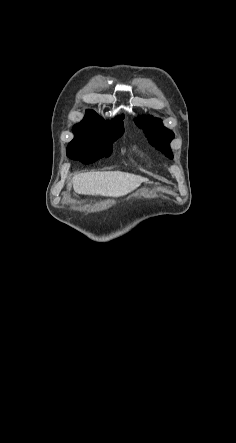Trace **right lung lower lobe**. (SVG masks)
Wrapping results in <instances>:
<instances>
[{"label":"right lung lower lobe","instance_id":"right-lung-lower-lobe-1","mask_svg":"<svg viewBox=\"0 0 236 443\" xmlns=\"http://www.w3.org/2000/svg\"><path fill=\"white\" fill-rule=\"evenodd\" d=\"M112 151H103L94 147H74L67 149V156L73 160H79L84 164H90L100 158L110 156Z\"/></svg>","mask_w":236,"mask_h":443}]
</instances>
